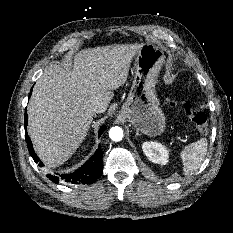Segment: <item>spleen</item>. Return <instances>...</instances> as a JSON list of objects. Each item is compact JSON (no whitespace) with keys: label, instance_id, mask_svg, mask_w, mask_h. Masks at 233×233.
<instances>
[{"label":"spleen","instance_id":"1","mask_svg":"<svg viewBox=\"0 0 233 233\" xmlns=\"http://www.w3.org/2000/svg\"><path fill=\"white\" fill-rule=\"evenodd\" d=\"M207 139L200 140L186 146L180 153L183 164V174L185 176L193 175L201 167L207 154Z\"/></svg>","mask_w":233,"mask_h":233}]
</instances>
